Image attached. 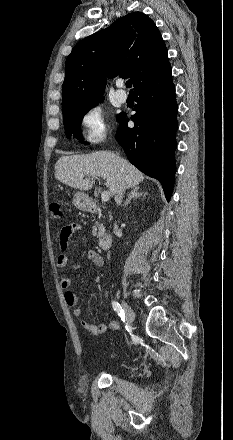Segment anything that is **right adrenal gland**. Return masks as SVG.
<instances>
[{
    "label": "right adrenal gland",
    "mask_w": 233,
    "mask_h": 440,
    "mask_svg": "<svg viewBox=\"0 0 233 440\" xmlns=\"http://www.w3.org/2000/svg\"><path fill=\"white\" fill-rule=\"evenodd\" d=\"M138 191H139V186L133 187V189L131 190L130 194L128 195V198L123 203V206H127L132 199H136V198H138V197L143 195V193H139Z\"/></svg>",
    "instance_id": "2a0ac1e0"
}]
</instances>
